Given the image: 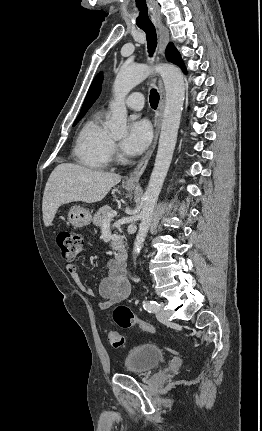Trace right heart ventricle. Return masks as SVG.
Masks as SVG:
<instances>
[{
	"mask_svg": "<svg viewBox=\"0 0 262 431\" xmlns=\"http://www.w3.org/2000/svg\"><path fill=\"white\" fill-rule=\"evenodd\" d=\"M111 135L104 127L101 113L90 116L81 127L74 147L80 164L90 169H103L109 159Z\"/></svg>",
	"mask_w": 262,
	"mask_h": 431,
	"instance_id": "e07e8e85",
	"label": "right heart ventricle"
}]
</instances>
